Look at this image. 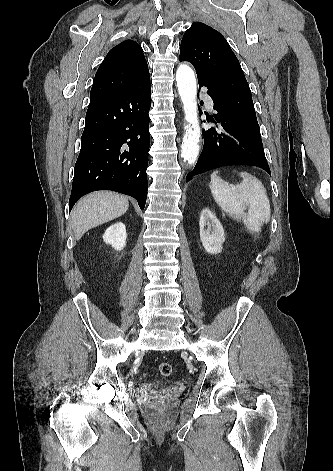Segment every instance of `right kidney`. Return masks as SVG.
Segmentation results:
<instances>
[{
  "mask_svg": "<svg viewBox=\"0 0 333 471\" xmlns=\"http://www.w3.org/2000/svg\"><path fill=\"white\" fill-rule=\"evenodd\" d=\"M126 238V227L122 222H117L111 225L103 235L104 242L110 244L117 251L124 248L126 245Z\"/></svg>",
  "mask_w": 333,
  "mask_h": 471,
  "instance_id": "obj_1",
  "label": "right kidney"
}]
</instances>
